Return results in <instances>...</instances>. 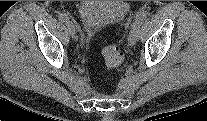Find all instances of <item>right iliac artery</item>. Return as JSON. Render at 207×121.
I'll list each match as a JSON object with an SVG mask.
<instances>
[{
	"label": "right iliac artery",
	"instance_id": "right-iliac-artery-1",
	"mask_svg": "<svg viewBox=\"0 0 207 121\" xmlns=\"http://www.w3.org/2000/svg\"><path fill=\"white\" fill-rule=\"evenodd\" d=\"M59 20L62 21V22H67L68 21V17L65 13H60L59 14Z\"/></svg>",
	"mask_w": 207,
	"mask_h": 121
}]
</instances>
